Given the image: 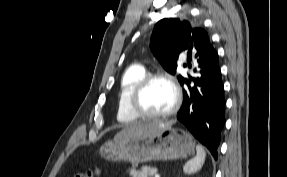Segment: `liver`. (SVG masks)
I'll use <instances>...</instances> for the list:
<instances>
[{
	"mask_svg": "<svg viewBox=\"0 0 287 177\" xmlns=\"http://www.w3.org/2000/svg\"><path fill=\"white\" fill-rule=\"evenodd\" d=\"M175 123V121L162 122L158 120L136 123L125 127L122 131L118 132L115 138H125V137H135L141 135H148L155 133L166 127H170Z\"/></svg>",
	"mask_w": 287,
	"mask_h": 177,
	"instance_id": "6515ba94",
	"label": "liver"
}]
</instances>
